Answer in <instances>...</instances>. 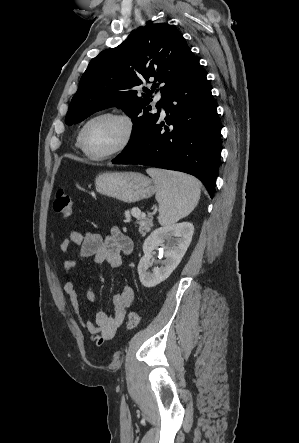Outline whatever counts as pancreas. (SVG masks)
<instances>
[{
  "label": "pancreas",
  "instance_id": "pancreas-1",
  "mask_svg": "<svg viewBox=\"0 0 299 443\" xmlns=\"http://www.w3.org/2000/svg\"><path fill=\"white\" fill-rule=\"evenodd\" d=\"M134 216L138 219V224H139L138 231L142 236H145L146 233L150 232L151 227L153 226L152 218H148L138 212Z\"/></svg>",
  "mask_w": 299,
  "mask_h": 443
}]
</instances>
